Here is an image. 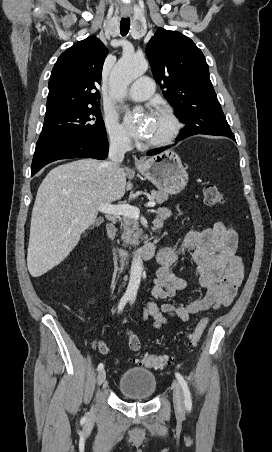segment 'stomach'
I'll use <instances>...</instances> for the list:
<instances>
[{
  "instance_id": "0dacf381",
  "label": "stomach",
  "mask_w": 272,
  "mask_h": 452,
  "mask_svg": "<svg viewBox=\"0 0 272 452\" xmlns=\"http://www.w3.org/2000/svg\"><path fill=\"white\" fill-rule=\"evenodd\" d=\"M138 171L159 191L178 194L188 182V173L179 155L173 150H166L152 156L137 165Z\"/></svg>"
}]
</instances>
